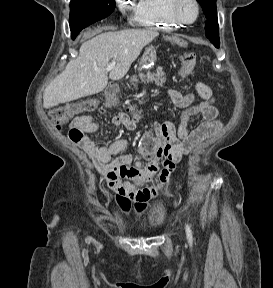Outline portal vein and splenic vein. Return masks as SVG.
Wrapping results in <instances>:
<instances>
[{
    "instance_id": "18ae733b",
    "label": "portal vein and splenic vein",
    "mask_w": 273,
    "mask_h": 288,
    "mask_svg": "<svg viewBox=\"0 0 273 288\" xmlns=\"http://www.w3.org/2000/svg\"><path fill=\"white\" fill-rule=\"evenodd\" d=\"M115 65H116V60H112V61L107 65V67L104 68L103 70H104V71H110V70H112V69L115 67Z\"/></svg>"
}]
</instances>
